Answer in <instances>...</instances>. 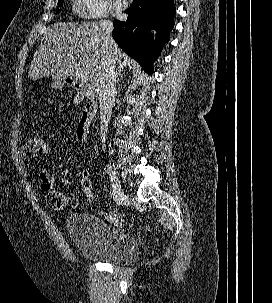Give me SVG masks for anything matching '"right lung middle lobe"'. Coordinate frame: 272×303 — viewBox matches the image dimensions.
I'll use <instances>...</instances> for the list:
<instances>
[{
  "label": "right lung middle lobe",
  "mask_w": 272,
  "mask_h": 303,
  "mask_svg": "<svg viewBox=\"0 0 272 303\" xmlns=\"http://www.w3.org/2000/svg\"><path fill=\"white\" fill-rule=\"evenodd\" d=\"M63 1H64V0H60V1H59V4H58L59 7H61V6L63 5ZM59 11H60V10L57 9L56 13H59Z\"/></svg>",
  "instance_id": "right-lung-middle-lobe-1"
}]
</instances>
